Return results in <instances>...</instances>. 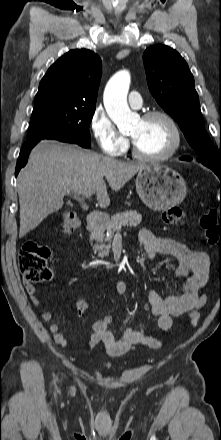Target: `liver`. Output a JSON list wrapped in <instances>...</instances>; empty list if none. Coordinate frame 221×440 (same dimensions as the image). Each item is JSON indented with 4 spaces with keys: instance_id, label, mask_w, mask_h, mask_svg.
<instances>
[{
    "instance_id": "1",
    "label": "liver",
    "mask_w": 221,
    "mask_h": 440,
    "mask_svg": "<svg viewBox=\"0 0 221 440\" xmlns=\"http://www.w3.org/2000/svg\"><path fill=\"white\" fill-rule=\"evenodd\" d=\"M145 163H126L93 151L45 140L31 151L18 175L20 230L22 238L48 215L62 208L63 198L73 192L96 193L101 208L110 205V188L119 191ZM105 178V180H104Z\"/></svg>"
}]
</instances>
